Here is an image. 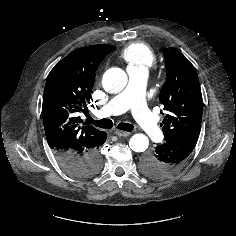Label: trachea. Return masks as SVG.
<instances>
[{
  "label": "trachea",
  "instance_id": "1",
  "mask_svg": "<svg viewBox=\"0 0 236 236\" xmlns=\"http://www.w3.org/2000/svg\"><path fill=\"white\" fill-rule=\"evenodd\" d=\"M86 122L103 129H110L113 126V122L110 119L94 120L90 116L88 117ZM117 128L123 131L131 132L134 129V126L129 123H119Z\"/></svg>",
  "mask_w": 236,
  "mask_h": 236
}]
</instances>
